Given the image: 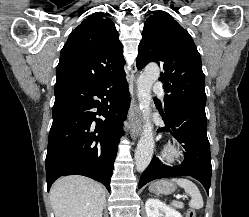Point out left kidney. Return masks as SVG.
<instances>
[{
  "instance_id": "1",
  "label": "left kidney",
  "mask_w": 249,
  "mask_h": 217,
  "mask_svg": "<svg viewBox=\"0 0 249 217\" xmlns=\"http://www.w3.org/2000/svg\"><path fill=\"white\" fill-rule=\"evenodd\" d=\"M145 210L147 217H183L178 211L153 198L146 201Z\"/></svg>"
}]
</instances>
